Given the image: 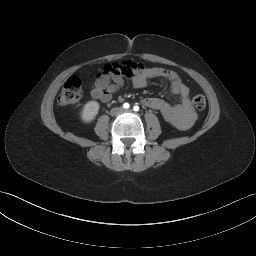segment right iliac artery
I'll use <instances>...</instances> for the list:
<instances>
[{
	"instance_id": "82829eb1",
	"label": "right iliac artery",
	"mask_w": 256,
	"mask_h": 256,
	"mask_svg": "<svg viewBox=\"0 0 256 256\" xmlns=\"http://www.w3.org/2000/svg\"><path fill=\"white\" fill-rule=\"evenodd\" d=\"M123 107H124L125 109H129L130 104H129V103H124V104H123Z\"/></svg>"
}]
</instances>
